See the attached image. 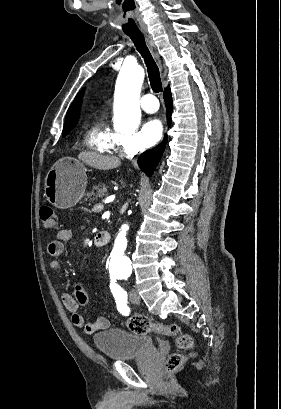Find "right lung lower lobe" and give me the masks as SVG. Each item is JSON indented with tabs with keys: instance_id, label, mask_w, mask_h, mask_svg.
Returning <instances> with one entry per match:
<instances>
[{
	"instance_id": "98d812e1",
	"label": "right lung lower lobe",
	"mask_w": 281,
	"mask_h": 409,
	"mask_svg": "<svg viewBox=\"0 0 281 409\" xmlns=\"http://www.w3.org/2000/svg\"><path fill=\"white\" fill-rule=\"evenodd\" d=\"M163 98L166 103V112H167V121L168 125L171 123L170 114L172 112V95L170 92V88L167 87L163 93ZM167 142V137L165 136V140L162 144H159L155 148L144 152L138 160V164L142 171H144L148 176H151L154 172L156 166L158 165L160 158L163 155L165 145Z\"/></svg>"
}]
</instances>
